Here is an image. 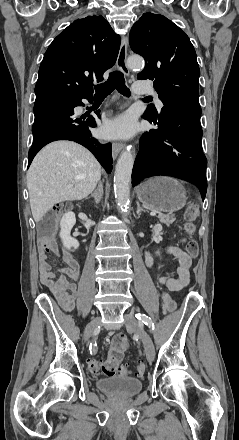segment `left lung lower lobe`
I'll use <instances>...</instances> for the list:
<instances>
[{
  "label": "left lung lower lobe",
  "mask_w": 239,
  "mask_h": 440,
  "mask_svg": "<svg viewBox=\"0 0 239 440\" xmlns=\"http://www.w3.org/2000/svg\"><path fill=\"white\" fill-rule=\"evenodd\" d=\"M200 117L199 100L185 97L166 102L156 117L145 113L143 118L159 129L140 138L132 184L150 176H172L195 184L204 199L207 159L202 150Z\"/></svg>",
  "instance_id": "left-lung-lower-lobe-1"
}]
</instances>
